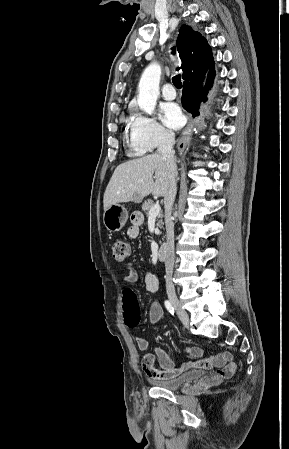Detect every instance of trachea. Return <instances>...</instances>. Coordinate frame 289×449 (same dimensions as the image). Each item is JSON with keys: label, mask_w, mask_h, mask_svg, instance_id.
<instances>
[{"label": "trachea", "mask_w": 289, "mask_h": 449, "mask_svg": "<svg viewBox=\"0 0 289 449\" xmlns=\"http://www.w3.org/2000/svg\"><path fill=\"white\" fill-rule=\"evenodd\" d=\"M172 54H175V48H172ZM174 86L178 89L182 88L181 75H176L172 78Z\"/></svg>", "instance_id": "1"}]
</instances>
